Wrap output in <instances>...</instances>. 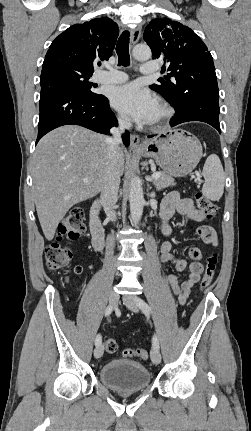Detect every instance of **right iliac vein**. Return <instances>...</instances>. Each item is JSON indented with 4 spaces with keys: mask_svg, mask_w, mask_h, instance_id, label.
<instances>
[{
    "mask_svg": "<svg viewBox=\"0 0 251 431\" xmlns=\"http://www.w3.org/2000/svg\"><path fill=\"white\" fill-rule=\"evenodd\" d=\"M119 300V295L116 291L111 290L110 294H109V303L112 307H115L118 303ZM104 353V347L102 344H99L98 346H96L95 350H94V356L98 359L101 358L102 355Z\"/></svg>",
    "mask_w": 251,
    "mask_h": 431,
    "instance_id": "obj_1",
    "label": "right iliac vein"
}]
</instances>
